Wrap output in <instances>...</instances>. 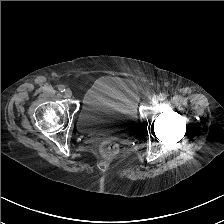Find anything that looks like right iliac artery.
<instances>
[{
    "mask_svg": "<svg viewBox=\"0 0 224 224\" xmlns=\"http://www.w3.org/2000/svg\"><path fill=\"white\" fill-rule=\"evenodd\" d=\"M58 90H59L60 92H65V86H64V85H60V86L58 87Z\"/></svg>",
    "mask_w": 224,
    "mask_h": 224,
    "instance_id": "82829eb1",
    "label": "right iliac artery"
}]
</instances>
